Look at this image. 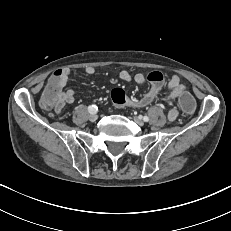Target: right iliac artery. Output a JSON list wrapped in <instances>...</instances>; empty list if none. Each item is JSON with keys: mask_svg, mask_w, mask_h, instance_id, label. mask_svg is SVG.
<instances>
[{"mask_svg": "<svg viewBox=\"0 0 231 231\" xmlns=\"http://www.w3.org/2000/svg\"><path fill=\"white\" fill-rule=\"evenodd\" d=\"M88 111L90 114H95L98 111V107L96 105H90Z\"/></svg>", "mask_w": 231, "mask_h": 231, "instance_id": "82829eb1", "label": "right iliac artery"}]
</instances>
